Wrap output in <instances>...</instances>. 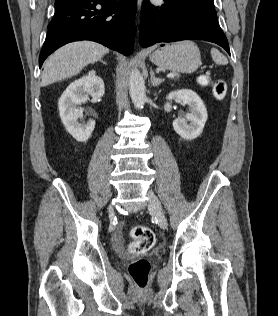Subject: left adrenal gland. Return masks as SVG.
I'll return each mask as SVG.
<instances>
[{
  "mask_svg": "<svg viewBox=\"0 0 278 316\" xmlns=\"http://www.w3.org/2000/svg\"><path fill=\"white\" fill-rule=\"evenodd\" d=\"M150 75H151V84L154 87L159 86L161 83L164 82V79H160V78H156L155 77V73L153 70L150 71Z\"/></svg>",
  "mask_w": 278,
  "mask_h": 316,
  "instance_id": "a2214340",
  "label": "left adrenal gland"
}]
</instances>
